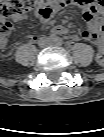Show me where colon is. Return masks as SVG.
Wrapping results in <instances>:
<instances>
[{
	"mask_svg": "<svg viewBox=\"0 0 104 137\" xmlns=\"http://www.w3.org/2000/svg\"><path fill=\"white\" fill-rule=\"evenodd\" d=\"M75 0H5L0 6V35L11 30V21L22 18L28 13H37L41 18L48 19L60 6ZM97 6L103 0L94 1Z\"/></svg>",
	"mask_w": 104,
	"mask_h": 137,
	"instance_id": "5ec220e1",
	"label": "colon"
}]
</instances>
